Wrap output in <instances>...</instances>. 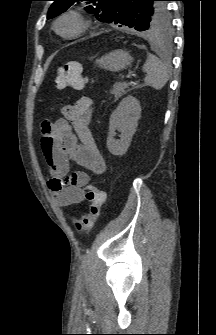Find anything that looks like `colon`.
Instances as JSON below:
<instances>
[{
  "label": "colon",
  "instance_id": "obj_1",
  "mask_svg": "<svg viewBox=\"0 0 216 335\" xmlns=\"http://www.w3.org/2000/svg\"><path fill=\"white\" fill-rule=\"evenodd\" d=\"M86 82L83 67L79 62L70 61L60 66L56 71L55 86L58 89L68 87L79 89ZM86 198L89 202L88 212L74 219V225L78 231H87L93 228L101 217L105 194L98 187L90 184L86 186Z\"/></svg>",
  "mask_w": 216,
  "mask_h": 335
}]
</instances>
